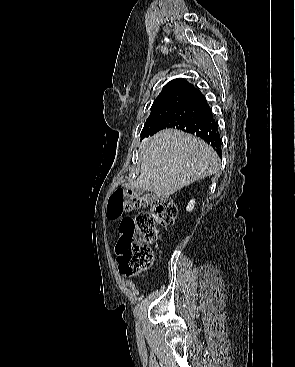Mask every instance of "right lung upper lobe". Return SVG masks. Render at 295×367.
I'll return each instance as SVG.
<instances>
[{"label": "right lung upper lobe", "instance_id": "right-lung-upper-lobe-1", "mask_svg": "<svg viewBox=\"0 0 295 367\" xmlns=\"http://www.w3.org/2000/svg\"><path fill=\"white\" fill-rule=\"evenodd\" d=\"M170 89H191V90H194L197 91V89L192 85L190 84L189 82L185 81L184 79H174L170 82H168L162 91L164 90H170Z\"/></svg>", "mask_w": 295, "mask_h": 367}]
</instances>
